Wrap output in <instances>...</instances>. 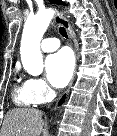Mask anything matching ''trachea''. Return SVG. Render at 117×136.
Masks as SVG:
<instances>
[{
  "instance_id": "trachea-1",
  "label": "trachea",
  "mask_w": 117,
  "mask_h": 136,
  "mask_svg": "<svg viewBox=\"0 0 117 136\" xmlns=\"http://www.w3.org/2000/svg\"><path fill=\"white\" fill-rule=\"evenodd\" d=\"M59 33H60L63 37L68 38L67 32H66V30H65L64 27H60V28H59Z\"/></svg>"
}]
</instances>
